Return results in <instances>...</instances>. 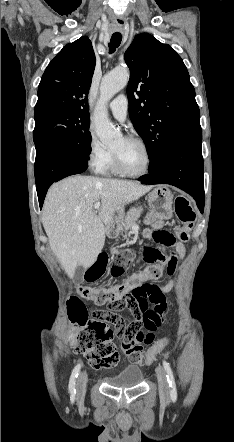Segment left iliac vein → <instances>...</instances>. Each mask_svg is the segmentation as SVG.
Masks as SVG:
<instances>
[{"instance_id": "obj_1", "label": "left iliac vein", "mask_w": 234, "mask_h": 442, "mask_svg": "<svg viewBox=\"0 0 234 442\" xmlns=\"http://www.w3.org/2000/svg\"><path fill=\"white\" fill-rule=\"evenodd\" d=\"M156 375L159 385V394L162 401L167 402L169 400V385L164 369L161 366L156 368Z\"/></svg>"}]
</instances>
